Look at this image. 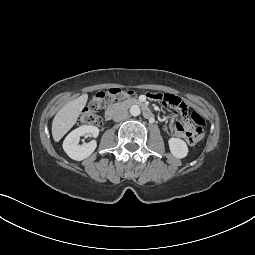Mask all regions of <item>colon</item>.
I'll list each match as a JSON object with an SVG mask.
<instances>
[{"instance_id": "1", "label": "colon", "mask_w": 255, "mask_h": 255, "mask_svg": "<svg viewBox=\"0 0 255 255\" xmlns=\"http://www.w3.org/2000/svg\"><path fill=\"white\" fill-rule=\"evenodd\" d=\"M129 94L130 91H124L120 88H110L108 91L97 92L94 94L89 105L83 110L79 122L82 125H97L100 123V118L97 113L105 106L108 100L120 101ZM151 99L160 100L165 105L177 107L180 104L178 98L169 94L147 93ZM182 117V122L178 123L174 128V133L183 138L188 144L194 145L203 138L202 126L205 120L196 112L188 113V110L179 112Z\"/></svg>"}]
</instances>
